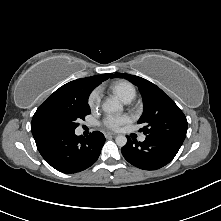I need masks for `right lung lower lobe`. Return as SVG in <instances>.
<instances>
[{"mask_svg":"<svg viewBox=\"0 0 221 221\" xmlns=\"http://www.w3.org/2000/svg\"><path fill=\"white\" fill-rule=\"evenodd\" d=\"M46 162L63 173H76L93 165L105 142L101 132L77 136L73 131H55L34 138Z\"/></svg>","mask_w":221,"mask_h":221,"instance_id":"right-lung-lower-lobe-1","label":"right lung lower lobe"}]
</instances>
